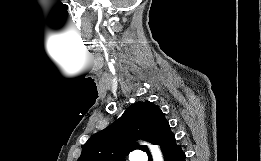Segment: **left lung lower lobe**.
<instances>
[{"instance_id": "0a47b994", "label": "left lung lower lobe", "mask_w": 261, "mask_h": 161, "mask_svg": "<svg viewBox=\"0 0 261 161\" xmlns=\"http://www.w3.org/2000/svg\"><path fill=\"white\" fill-rule=\"evenodd\" d=\"M161 150L164 155V161H185V153L181 146L176 144L175 136L171 133L161 144ZM149 161H152L150 153H148Z\"/></svg>"}]
</instances>
